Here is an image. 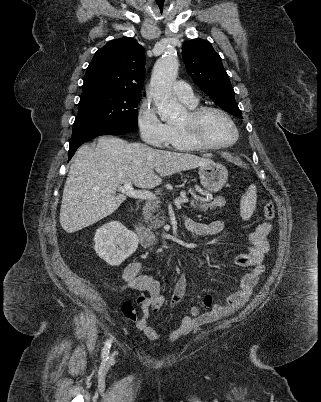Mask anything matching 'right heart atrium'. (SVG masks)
<instances>
[{"label": "right heart atrium", "instance_id": "right-heart-atrium-1", "mask_svg": "<svg viewBox=\"0 0 321 402\" xmlns=\"http://www.w3.org/2000/svg\"><path fill=\"white\" fill-rule=\"evenodd\" d=\"M137 125L142 140L154 147L167 145L169 139L168 124L163 122L156 109L144 102L137 114Z\"/></svg>", "mask_w": 321, "mask_h": 402}]
</instances>
